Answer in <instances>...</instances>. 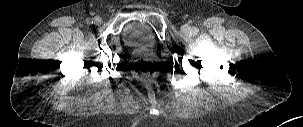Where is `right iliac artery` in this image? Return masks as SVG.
Returning <instances> with one entry per match:
<instances>
[{"label":"right iliac artery","mask_w":303,"mask_h":127,"mask_svg":"<svg viewBox=\"0 0 303 127\" xmlns=\"http://www.w3.org/2000/svg\"><path fill=\"white\" fill-rule=\"evenodd\" d=\"M86 23L90 25V24H92V23H93V20H92V19H90V18H88V19L86 20Z\"/></svg>","instance_id":"82829eb1"}]
</instances>
